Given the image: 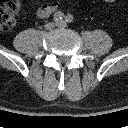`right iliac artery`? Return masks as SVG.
Returning a JSON list of instances; mask_svg holds the SVG:
<instances>
[{
  "label": "right iliac artery",
  "instance_id": "82829eb1",
  "mask_svg": "<svg viewBox=\"0 0 128 128\" xmlns=\"http://www.w3.org/2000/svg\"><path fill=\"white\" fill-rule=\"evenodd\" d=\"M64 18V14L61 12V11H58L56 12L54 15H53V19L55 21H60Z\"/></svg>",
  "mask_w": 128,
  "mask_h": 128
}]
</instances>
